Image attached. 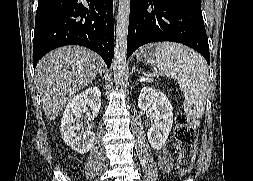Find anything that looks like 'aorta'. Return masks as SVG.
Listing matches in <instances>:
<instances>
[{
    "instance_id": "1",
    "label": "aorta",
    "mask_w": 253,
    "mask_h": 181,
    "mask_svg": "<svg viewBox=\"0 0 253 181\" xmlns=\"http://www.w3.org/2000/svg\"><path fill=\"white\" fill-rule=\"evenodd\" d=\"M129 15L130 0H119L113 60L114 81L117 85L123 82L127 66L126 58Z\"/></svg>"
}]
</instances>
